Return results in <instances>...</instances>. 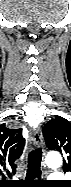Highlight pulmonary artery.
Instances as JSON below:
<instances>
[{"label":"pulmonary artery","instance_id":"obj_1","mask_svg":"<svg viewBox=\"0 0 71 187\" xmlns=\"http://www.w3.org/2000/svg\"><path fill=\"white\" fill-rule=\"evenodd\" d=\"M61 178H62V176L59 172H54V173L50 174V176H49L50 180L61 179Z\"/></svg>","mask_w":71,"mask_h":187}]
</instances>
